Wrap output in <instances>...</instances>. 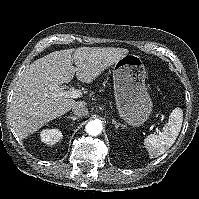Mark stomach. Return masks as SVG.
Masks as SVG:
<instances>
[{"label":"stomach","mask_w":199,"mask_h":199,"mask_svg":"<svg viewBox=\"0 0 199 199\" xmlns=\"http://www.w3.org/2000/svg\"><path fill=\"white\" fill-rule=\"evenodd\" d=\"M147 72L138 55L126 54L113 67L114 95L118 113L128 124L143 125L152 111L145 85Z\"/></svg>","instance_id":"obj_1"}]
</instances>
